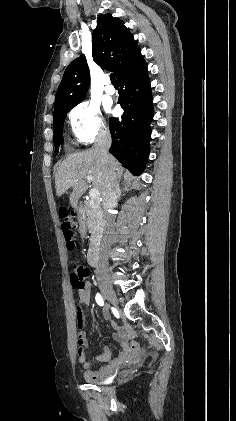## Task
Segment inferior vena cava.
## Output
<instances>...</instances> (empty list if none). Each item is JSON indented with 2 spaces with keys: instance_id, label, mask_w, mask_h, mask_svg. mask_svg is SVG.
Returning <instances> with one entry per match:
<instances>
[{
  "instance_id": "inferior-vena-cava-1",
  "label": "inferior vena cava",
  "mask_w": 236,
  "mask_h": 421,
  "mask_svg": "<svg viewBox=\"0 0 236 421\" xmlns=\"http://www.w3.org/2000/svg\"><path fill=\"white\" fill-rule=\"evenodd\" d=\"M94 146L98 150L102 162H107L110 154L108 152L111 146V134L107 126H99L98 134L95 138ZM116 168H110L109 170V182L106 184L105 192L103 194V206H104V235L101 243L97 273H104L108 267V257L105 251H108L113 243V223L114 215L110 211H114L117 206V192L118 182Z\"/></svg>"
}]
</instances>
